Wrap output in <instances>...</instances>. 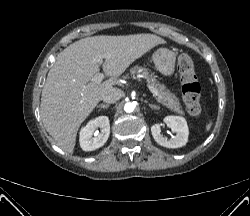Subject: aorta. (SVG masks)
Here are the masks:
<instances>
[{"mask_svg":"<svg viewBox=\"0 0 250 216\" xmlns=\"http://www.w3.org/2000/svg\"><path fill=\"white\" fill-rule=\"evenodd\" d=\"M134 109H135V105H134V103H132V102H127V103L124 105V110H125V112H127V113L133 112Z\"/></svg>","mask_w":250,"mask_h":216,"instance_id":"1","label":"aorta"}]
</instances>
